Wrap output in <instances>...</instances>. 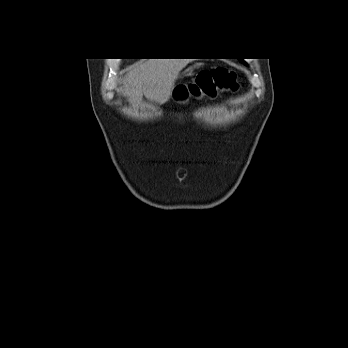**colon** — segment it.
<instances>
[{
	"label": "colon",
	"mask_w": 348,
	"mask_h": 348,
	"mask_svg": "<svg viewBox=\"0 0 348 348\" xmlns=\"http://www.w3.org/2000/svg\"><path fill=\"white\" fill-rule=\"evenodd\" d=\"M238 87L236 73L226 67H215L201 71L195 81L176 89V97L215 96L222 92H232Z\"/></svg>",
	"instance_id": "obj_1"
}]
</instances>
